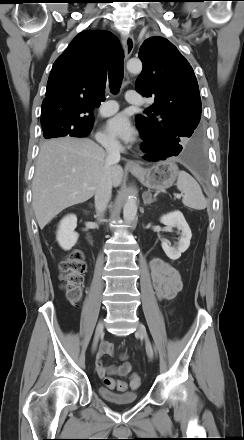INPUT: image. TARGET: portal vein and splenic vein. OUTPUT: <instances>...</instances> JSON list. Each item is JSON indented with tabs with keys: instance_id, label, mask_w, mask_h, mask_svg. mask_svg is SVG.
<instances>
[{
	"instance_id": "1",
	"label": "portal vein and splenic vein",
	"mask_w": 244,
	"mask_h": 440,
	"mask_svg": "<svg viewBox=\"0 0 244 440\" xmlns=\"http://www.w3.org/2000/svg\"><path fill=\"white\" fill-rule=\"evenodd\" d=\"M180 197H181V195L178 194V195H177V198H180Z\"/></svg>"
}]
</instances>
